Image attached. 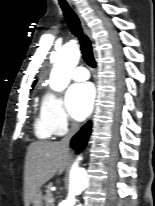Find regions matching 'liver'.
<instances>
[{
	"label": "liver",
	"mask_w": 155,
	"mask_h": 206,
	"mask_svg": "<svg viewBox=\"0 0 155 206\" xmlns=\"http://www.w3.org/2000/svg\"><path fill=\"white\" fill-rule=\"evenodd\" d=\"M71 156L61 141H37L27 149L24 169V204L29 206L42 185L67 168Z\"/></svg>",
	"instance_id": "liver-1"
}]
</instances>
